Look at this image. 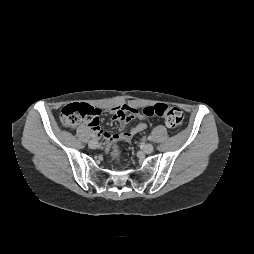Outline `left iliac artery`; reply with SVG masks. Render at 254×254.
I'll return each mask as SVG.
<instances>
[{"instance_id": "obj_1", "label": "left iliac artery", "mask_w": 254, "mask_h": 254, "mask_svg": "<svg viewBox=\"0 0 254 254\" xmlns=\"http://www.w3.org/2000/svg\"><path fill=\"white\" fill-rule=\"evenodd\" d=\"M152 139V137L151 136H148V140H151Z\"/></svg>"}]
</instances>
